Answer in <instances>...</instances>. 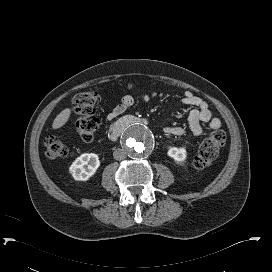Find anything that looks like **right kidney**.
<instances>
[{
  "label": "right kidney",
  "mask_w": 272,
  "mask_h": 272,
  "mask_svg": "<svg viewBox=\"0 0 272 272\" xmlns=\"http://www.w3.org/2000/svg\"><path fill=\"white\" fill-rule=\"evenodd\" d=\"M99 166L100 161L97 154L84 153L75 159L69 171L75 180L86 181L95 174Z\"/></svg>",
  "instance_id": "right-kidney-1"
}]
</instances>
